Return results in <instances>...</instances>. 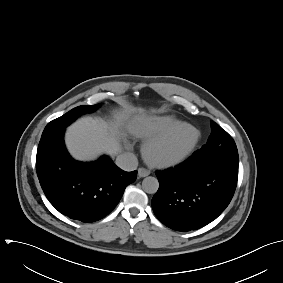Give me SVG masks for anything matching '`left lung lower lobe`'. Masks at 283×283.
Returning a JSON list of instances; mask_svg holds the SVG:
<instances>
[{
  "mask_svg": "<svg viewBox=\"0 0 283 283\" xmlns=\"http://www.w3.org/2000/svg\"><path fill=\"white\" fill-rule=\"evenodd\" d=\"M156 175L159 189L152 198L156 217L171 229L190 231L212 222L228 206L236 189L238 163L192 155Z\"/></svg>",
  "mask_w": 283,
  "mask_h": 283,
  "instance_id": "left-lung-lower-lobe-1",
  "label": "left lung lower lobe"
}]
</instances>
